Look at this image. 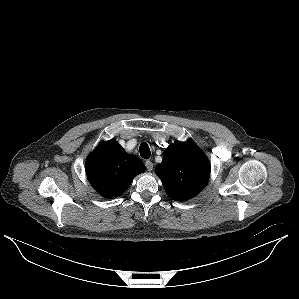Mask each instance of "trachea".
I'll return each mask as SVG.
<instances>
[{
	"instance_id": "3493384b",
	"label": "trachea",
	"mask_w": 299,
	"mask_h": 299,
	"mask_svg": "<svg viewBox=\"0 0 299 299\" xmlns=\"http://www.w3.org/2000/svg\"><path fill=\"white\" fill-rule=\"evenodd\" d=\"M139 150H140V155H141L142 158H144V159H149L150 158L151 151H150V148H149L147 143H142L140 145Z\"/></svg>"
}]
</instances>
